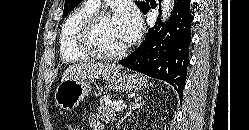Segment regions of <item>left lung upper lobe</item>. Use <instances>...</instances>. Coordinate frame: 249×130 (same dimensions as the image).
Masks as SVG:
<instances>
[{
  "mask_svg": "<svg viewBox=\"0 0 249 130\" xmlns=\"http://www.w3.org/2000/svg\"><path fill=\"white\" fill-rule=\"evenodd\" d=\"M81 1L82 0H66L62 17L67 16ZM136 4L140 7L143 14H146L150 9L148 2H136Z\"/></svg>",
  "mask_w": 249,
  "mask_h": 130,
  "instance_id": "left-lung-upper-lobe-1",
  "label": "left lung upper lobe"
}]
</instances>
